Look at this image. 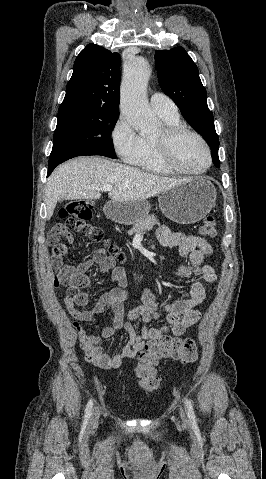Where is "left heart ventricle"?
I'll return each mask as SVG.
<instances>
[{
    "instance_id": "left-heart-ventricle-1",
    "label": "left heart ventricle",
    "mask_w": 266,
    "mask_h": 479,
    "mask_svg": "<svg viewBox=\"0 0 266 479\" xmlns=\"http://www.w3.org/2000/svg\"><path fill=\"white\" fill-rule=\"evenodd\" d=\"M161 133L162 131L157 136ZM173 155L177 164L189 171L201 170L207 164V155L203 145L190 134H184L177 138L173 145Z\"/></svg>"
}]
</instances>
